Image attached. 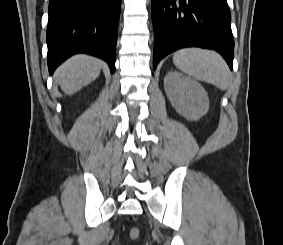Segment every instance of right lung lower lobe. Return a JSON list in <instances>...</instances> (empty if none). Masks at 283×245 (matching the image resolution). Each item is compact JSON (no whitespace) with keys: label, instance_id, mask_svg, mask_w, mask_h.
Here are the masks:
<instances>
[{"label":"right lung lower lobe","instance_id":"right-lung-lower-lobe-1","mask_svg":"<svg viewBox=\"0 0 283 245\" xmlns=\"http://www.w3.org/2000/svg\"><path fill=\"white\" fill-rule=\"evenodd\" d=\"M121 0H50L47 28L50 74L75 53L105 60L115 71Z\"/></svg>","mask_w":283,"mask_h":245}]
</instances>
